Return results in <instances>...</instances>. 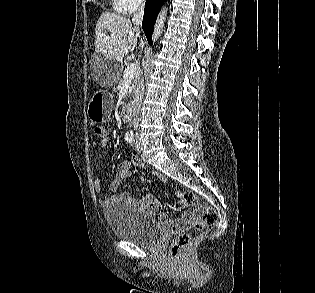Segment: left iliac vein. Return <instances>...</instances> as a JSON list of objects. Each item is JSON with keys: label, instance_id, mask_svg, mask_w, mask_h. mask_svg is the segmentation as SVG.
Instances as JSON below:
<instances>
[{"label": "left iliac vein", "instance_id": "left-iliac-vein-1", "mask_svg": "<svg viewBox=\"0 0 315 293\" xmlns=\"http://www.w3.org/2000/svg\"><path fill=\"white\" fill-rule=\"evenodd\" d=\"M134 148L137 152H141L142 151V141L141 139L137 136L135 141H134Z\"/></svg>", "mask_w": 315, "mask_h": 293}]
</instances>
